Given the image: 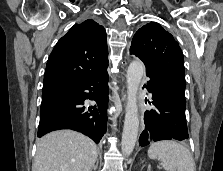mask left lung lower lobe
Returning a JSON list of instances; mask_svg holds the SVG:
<instances>
[{
  "label": "left lung lower lobe",
  "mask_w": 223,
  "mask_h": 171,
  "mask_svg": "<svg viewBox=\"0 0 223 171\" xmlns=\"http://www.w3.org/2000/svg\"><path fill=\"white\" fill-rule=\"evenodd\" d=\"M146 75L150 80L145 87L153 94L154 108L144 114L145 130L140 135V145L143 147L160 140L187 139L185 88L148 68Z\"/></svg>",
  "instance_id": "1"
}]
</instances>
